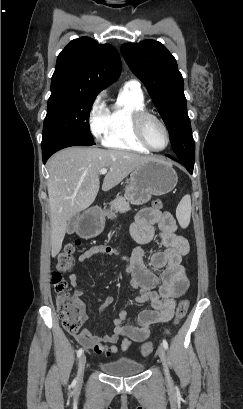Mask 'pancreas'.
<instances>
[{
	"mask_svg": "<svg viewBox=\"0 0 243 409\" xmlns=\"http://www.w3.org/2000/svg\"><path fill=\"white\" fill-rule=\"evenodd\" d=\"M111 209L115 212H126L130 210L128 199L124 196H117L111 203Z\"/></svg>",
	"mask_w": 243,
	"mask_h": 409,
	"instance_id": "cf45deb5",
	"label": "pancreas"
}]
</instances>
